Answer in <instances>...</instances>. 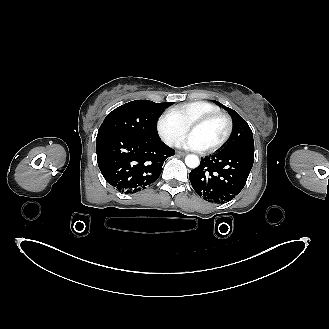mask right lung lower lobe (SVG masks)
<instances>
[{
    "label": "right lung lower lobe",
    "instance_id": "1",
    "mask_svg": "<svg viewBox=\"0 0 329 329\" xmlns=\"http://www.w3.org/2000/svg\"><path fill=\"white\" fill-rule=\"evenodd\" d=\"M97 162L105 180L119 192L132 194L150 187L174 150L161 139L119 133H101L96 138Z\"/></svg>",
    "mask_w": 329,
    "mask_h": 329
}]
</instances>
